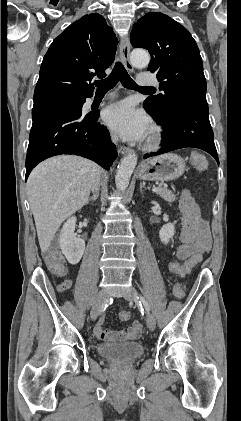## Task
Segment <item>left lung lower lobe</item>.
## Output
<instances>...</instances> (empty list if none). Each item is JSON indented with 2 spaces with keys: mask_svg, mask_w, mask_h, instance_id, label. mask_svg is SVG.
Wrapping results in <instances>:
<instances>
[{
  "mask_svg": "<svg viewBox=\"0 0 241 421\" xmlns=\"http://www.w3.org/2000/svg\"><path fill=\"white\" fill-rule=\"evenodd\" d=\"M153 119L164 129L161 136L163 146L157 152L146 154L145 159L181 148L194 147L208 152L219 164L205 99L197 97L188 100L171 114L167 123L155 117Z\"/></svg>",
  "mask_w": 241,
  "mask_h": 421,
  "instance_id": "left-lung-lower-lobe-1",
  "label": "left lung lower lobe"
}]
</instances>
